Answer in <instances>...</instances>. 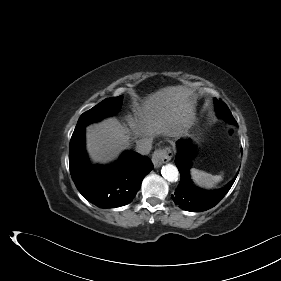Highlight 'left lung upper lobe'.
Listing matches in <instances>:
<instances>
[{"instance_id": "5c2ea615", "label": "left lung upper lobe", "mask_w": 281, "mask_h": 281, "mask_svg": "<svg viewBox=\"0 0 281 281\" xmlns=\"http://www.w3.org/2000/svg\"><path fill=\"white\" fill-rule=\"evenodd\" d=\"M215 103H216V110L221 117H224L225 119H227L229 122L233 124H237L230 110L222 101L216 99Z\"/></svg>"}]
</instances>
